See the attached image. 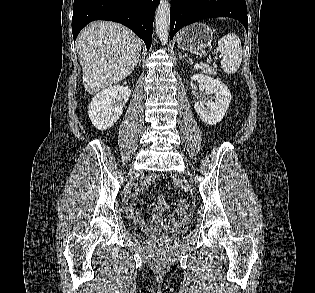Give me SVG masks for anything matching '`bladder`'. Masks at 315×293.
I'll return each mask as SVG.
<instances>
[{
  "label": "bladder",
  "instance_id": "1",
  "mask_svg": "<svg viewBox=\"0 0 315 293\" xmlns=\"http://www.w3.org/2000/svg\"><path fill=\"white\" fill-rule=\"evenodd\" d=\"M142 232L148 236H161L165 234V231L161 229L148 228V227L142 229Z\"/></svg>",
  "mask_w": 315,
  "mask_h": 293
}]
</instances>
